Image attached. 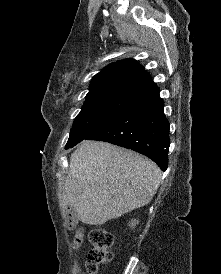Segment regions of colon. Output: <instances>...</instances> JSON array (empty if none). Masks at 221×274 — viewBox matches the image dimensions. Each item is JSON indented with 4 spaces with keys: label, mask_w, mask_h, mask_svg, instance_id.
Wrapping results in <instances>:
<instances>
[{
    "label": "colon",
    "mask_w": 221,
    "mask_h": 274,
    "mask_svg": "<svg viewBox=\"0 0 221 274\" xmlns=\"http://www.w3.org/2000/svg\"><path fill=\"white\" fill-rule=\"evenodd\" d=\"M83 239V233L78 232L75 236V246H79ZM89 242L92 248L89 251L87 270L89 274H96L98 268L111 260L112 253L110 251L114 243L111 232L102 228L95 227L88 233Z\"/></svg>",
    "instance_id": "colon-1"
}]
</instances>
